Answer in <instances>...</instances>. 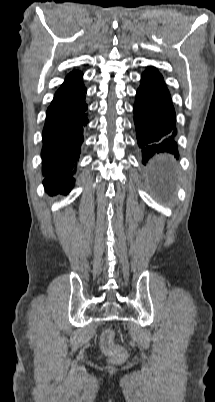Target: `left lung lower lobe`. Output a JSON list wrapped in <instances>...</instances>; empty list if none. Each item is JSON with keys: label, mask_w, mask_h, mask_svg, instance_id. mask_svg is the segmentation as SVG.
Here are the masks:
<instances>
[{"label": "left lung lower lobe", "mask_w": 215, "mask_h": 402, "mask_svg": "<svg viewBox=\"0 0 215 402\" xmlns=\"http://www.w3.org/2000/svg\"><path fill=\"white\" fill-rule=\"evenodd\" d=\"M134 123L143 164L158 154L170 153L178 157L174 106L163 77L155 67H148L141 76L134 104ZM150 170L158 173L155 168Z\"/></svg>", "instance_id": "left-lung-lower-lobe-1"}]
</instances>
